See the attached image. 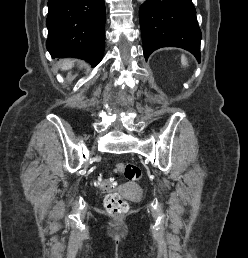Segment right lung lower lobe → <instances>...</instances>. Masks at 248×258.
I'll return each mask as SVG.
<instances>
[{
    "mask_svg": "<svg viewBox=\"0 0 248 258\" xmlns=\"http://www.w3.org/2000/svg\"><path fill=\"white\" fill-rule=\"evenodd\" d=\"M48 8L46 47L52 57L97 65L105 45L104 0H49Z\"/></svg>",
    "mask_w": 248,
    "mask_h": 258,
    "instance_id": "1",
    "label": "right lung lower lobe"
}]
</instances>
